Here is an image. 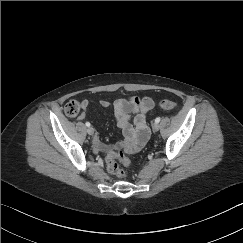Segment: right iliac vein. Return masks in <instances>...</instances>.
<instances>
[{"instance_id":"1","label":"right iliac vein","mask_w":243,"mask_h":243,"mask_svg":"<svg viewBox=\"0 0 243 243\" xmlns=\"http://www.w3.org/2000/svg\"><path fill=\"white\" fill-rule=\"evenodd\" d=\"M94 132H95V129H94L93 127H89V128L87 129V133H88L89 135H93Z\"/></svg>"}]
</instances>
